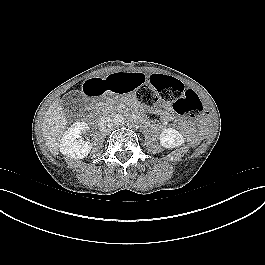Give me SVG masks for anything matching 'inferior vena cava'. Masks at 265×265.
<instances>
[{
	"label": "inferior vena cava",
	"mask_w": 265,
	"mask_h": 265,
	"mask_svg": "<svg viewBox=\"0 0 265 265\" xmlns=\"http://www.w3.org/2000/svg\"><path fill=\"white\" fill-rule=\"evenodd\" d=\"M113 127H114L113 120H112L110 117H108V116L101 117V118L98 120V129H99L101 132H108V131H110Z\"/></svg>",
	"instance_id": "inferior-vena-cava-1"
}]
</instances>
